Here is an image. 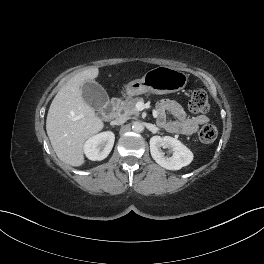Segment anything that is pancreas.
Listing matches in <instances>:
<instances>
[{
    "mask_svg": "<svg viewBox=\"0 0 264 264\" xmlns=\"http://www.w3.org/2000/svg\"><path fill=\"white\" fill-rule=\"evenodd\" d=\"M138 102H143L142 98H130L127 97L125 100L120 101L118 103V111L122 112L123 115L127 118H129L132 115L138 116L139 115V110L136 108V104Z\"/></svg>",
    "mask_w": 264,
    "mask_h": 264,
    "instance_id": "cf45deb5",
    "label": "pancreas"
}]
</instances>
